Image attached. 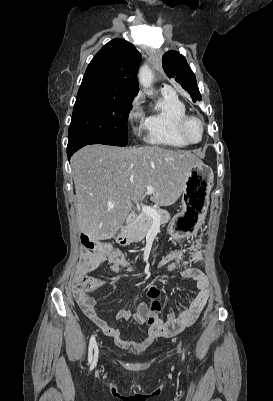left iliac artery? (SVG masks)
<instances>
[{
    "label": "left iliac artery",
    "instance_id": "1",
    "mask_svg": "<svg viewBox=\"0 0 273 401\" xmlns=\"http://www.w3.org/2000/svg\"><path fill=\"white\" fill-rule=\"evenodd\" d=\"M184 357H185V355H184V352H183V356H182V359H184Z\"/></svg>",
    "mask_w": 273,
    "mask_h": 401
}]
</instances>
